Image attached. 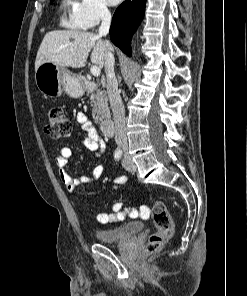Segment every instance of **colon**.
I'll return each instance as SVG.
<instances>
[{"mask_svg": "<svg viewBox=\"0 0 247 296\" xmlns=\"http://www.w3.org/2000/svg\"><path fill=\"white\" fill-rule=\"evenodd\" d=\"M72 131V125L60 107H54L49 112L48 122L45 126L47 135L54 139L67 137ZM142 217L152 216L156 231L152 233L145 246L146 254H154L161 250L164 242L174 232V224L166 204L162 201L153 203L151 209L144 208Z\"/></svg>", "mask_w": 247, "mask_h": 296, "instance_id": "1", "label": "colon"}]
</instances>
